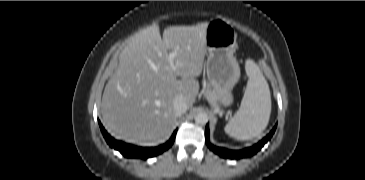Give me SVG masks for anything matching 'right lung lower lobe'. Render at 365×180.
<instances>
[{"label": "right lung lower lobe", "instance_id": "right-lung-lower-lobe-1", "mask_svg": "<svg viewBox=\"0 0 365 180\" xmlns=\"http://www.w3.org/2000/svg\"><path fill=\"white\" fill-rule=\"evenodd\" d=\"M99 126H100V129L102 131V134H103L105 140L110 145V147L118 150L123 156H125L127 158L147 159L149 157H154V156L162 153L163 151H165L171 147V145L173 144V142L175 140V136H176V132H177L175 130L172 137L170 138V140L167 141L163 145H160L158 147H144L143 148V147H138V146H134L131 144H127V143L115 140L113 137H111L106 132V130L104 129V127L102 126L100 121H99Z\"/></svg>", "mask_w": 365, "mask_h": 180}]
</instances>
